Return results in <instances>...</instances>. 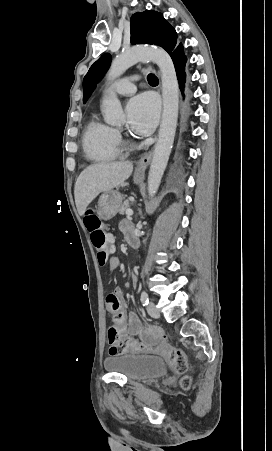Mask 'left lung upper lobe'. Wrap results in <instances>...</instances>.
<instances>
[{
	"instance_id": "1",
	"label": "left lung upper lobe",
	"mask_w": 272,
	"mask_h": 451,
	"mask_svg": "<svg viewBox=\"0 0 272 451\" xmlns=\"http://www.w3.org/2000/svg\"><path fill=\"white\" fill-rule=\"evenodd\" d=\"M131 43L151 44L165 49L172 54L177 44L175 29L164 19L163 14L152 10L137 12L130 18ZM111 56L103 54L89 69L83 80V102L85 103L96 84L107 71Z\"/></svg>"
}]
</instances>
